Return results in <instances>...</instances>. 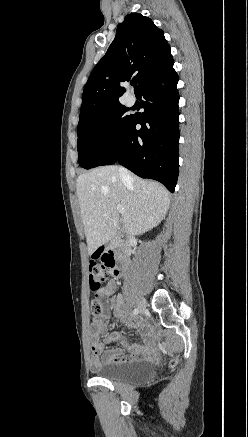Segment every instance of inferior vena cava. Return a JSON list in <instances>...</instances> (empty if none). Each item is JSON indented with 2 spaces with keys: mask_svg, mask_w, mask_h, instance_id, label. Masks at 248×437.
Masks as SVG:
<instances>
[{
  "mask_svg": "<svg viewBox=\"0 0 248 437\" xmlns=\"http://www.w3.org/2000/svg\"><path fill=\"white\" fill-rule=\"evenodd\" d=\"M119 173L123 178H126L128 176V171L123 167L119 168Z\"/></svg>",
  "mask_w": 248,
  "mask_h": 437,
  "instance_id": "1",
  "label": "inferior vena cava"
}]
</instances>
